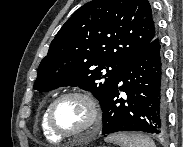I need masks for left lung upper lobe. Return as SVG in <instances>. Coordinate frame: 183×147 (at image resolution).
Wrapping results in <instances>:
<instances>
[{
	"label": "left lung upper lobe",
	"mask_w": 183,
	"mask_h": 147,
	"mask_svg": "<svg viewBox=\"0 0 183 147\" xmlns=\"http://www.w3.org/2000/svg\"><path fill=\"white\" fill-rule=\"evenodd\" d=\"M157 36L148 0H93L62 26L41 61L34 89L78 86L104 105L126 62Z\"/></svg>",
	"instance_id": "1"
}]
</instances>
